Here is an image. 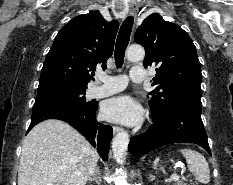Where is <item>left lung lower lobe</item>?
Segmentation results:
<instances>
[{"mask_svg":"<svg viewBox=\"0 0 233 185\" xmlns=\"http://www.w3.org/2000/svg\"><path fill=\"white\" fill-rule=\"evenodd\" d=\"M201 110V95L181 98L162 117H152L153 124L145 133L131 139L129 153L142 155L167 144L195 143L211 155Z\"/></svg>","mask_w":233,"mask_h":185,"instance_id":"obj_1","label":"left lung lower lobe"}]
</instances>
